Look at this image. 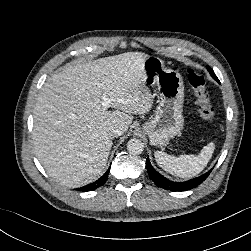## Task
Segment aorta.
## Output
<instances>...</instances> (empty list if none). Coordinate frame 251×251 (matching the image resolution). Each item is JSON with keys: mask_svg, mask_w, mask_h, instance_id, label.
Returning <instances> with one entry per match:
<instances>
[{"mask_svg": "<svg viewBox=\"0 0 251 251\" xmlns=\"http://www.w3.org/2000/svg\"><path fill=\"white\" fill-rule=\"evenodd\" d=\"M127 150L133 155H139L144 151V144L140 139H130L127 143Z\"/></svg>", "mask_w": 251, "mask_h": 251, "instance_id": "aorta-1", "label": "aorta"}]
</instances>
